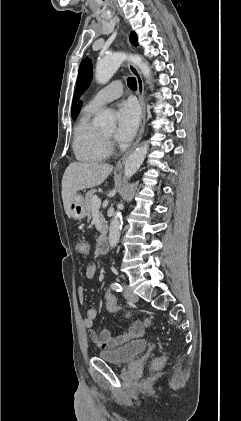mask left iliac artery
<instances>
[{"instance_id":"1","label":"left iliac artery","mask_w":241,"mask_h":421,"mask_svg":"<svg viewBox=\"0 0 241 421\" xmlns=\"http://www.w3.org/2000/svg\"><path fill=\"white\" fill-rule=\"evenodd\" d=\"M111 288L117 292H121L123 290L122 286L119 283H112Z\"/></svg>"}]
</instances>
